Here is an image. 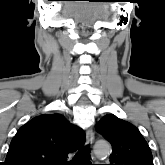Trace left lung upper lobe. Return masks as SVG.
Returning a JSON list of instances; mask_svg holds the SVG:
<instances>
[{
	"label": "left lung upper lobe",
	"mask_w": 165,
	"mask_h": 165,
	"mask_svg": "<svg viewBox=\"0 0 165 165\" xmlns=\"http://www.w3.org/2000/svg\"><path fill=\"white\" fill-rule=\"evenodd\" d=\"M96 130L112 145L110 165H153L147 142L131 123L108 114L99 121Z\"/></svg>",
	"instance_id": "obj_1"
}]
</instances>
